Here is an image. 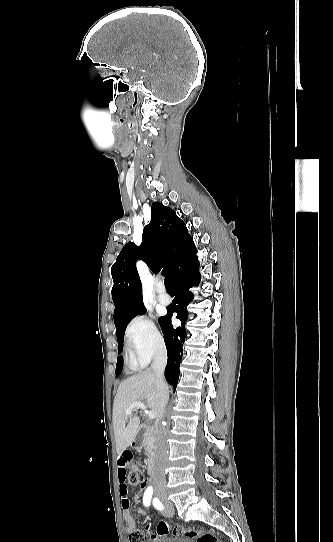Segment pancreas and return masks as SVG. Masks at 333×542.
<instances>
[{"label": "pancreas", "mask_w": 333, "mask_h": 542, "mask_svg": "<svg viewBox=\"0 0 333 542\" xmlns=\"http://www.w3.org/2000/svg\"><path fill=\"white\" fill-rule=\"evenodd\" d=\"M147 442H149V444H147L149 448H146L145 454L146 456H154L155 452H153V448H155L156 444L155 436H152V438H148Z\"/></svg>", "instance_id": "obj_1"}]
</instances>
